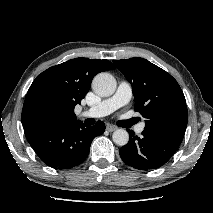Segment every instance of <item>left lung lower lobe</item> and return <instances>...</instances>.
Here are the masks:
<instances>
[{
	"label": "left lung lower lobe",
	"instance_id": "1",
	"mask_svg": "<svg viewBox=\"0 0 213 213\" xmlns=\"http://www.w3.org/2000/svg\"><path fill=\"white\" fill-rule=\"evenodd\" d=\"M127 131L129 142L120 149V157L127 165L138 170L156 169L162 166L180 145L172 139L145 130L141 137L136 136L132 130Z\"/></svg>",
	"mask_w": 213,
	"mask_h": 213
}]
</instances>
